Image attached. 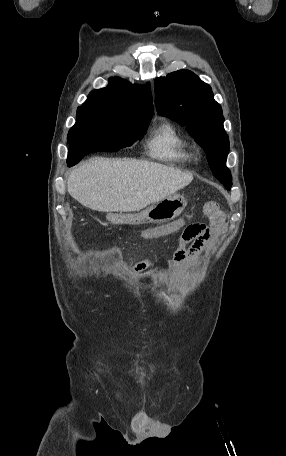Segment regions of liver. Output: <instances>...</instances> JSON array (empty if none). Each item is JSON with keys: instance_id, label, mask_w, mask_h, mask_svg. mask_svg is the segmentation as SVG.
<instances>
[{"instance_id": "1", "label": "liver", "mask_w": 286, "mask_h": 456, "mask_svg": "<svg viewBox=\"0 0 286 456\" xmlns=\"http://www.w3.org/2000/svg\"><path fill=\"white\" fill-rule=\"evenodd\" d=\"M192 180V173L159 163L93 158L70 173L67 190L92 210L131 212L163 200Z\"/></svg>"}]
</instances>
